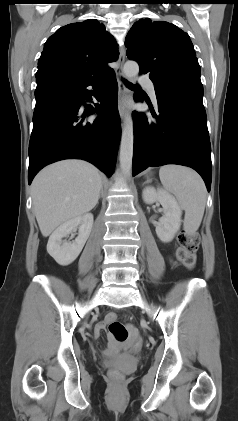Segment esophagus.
Returning <instances> with one entry per match:
<instances>
[{"mask_svg":"<svg viewBox=\"0 0 238 421\" xmlns=\"http://www.w3.org/2000/svg\"><path fill=\"white\" fill-rule=\"evenodd\" d=\"M124 62H125V48L124 46H120L118 68H117L116 74H117L118 90H119L118 91V111L122 120L125 119V116L127 114V109L125 105V96H126L127 88L124 84L125 75L123 72Z\"/></svg>","mask_w":238,"mask_h":421,"instance_id":"1","label":"esophagus"}]
</instances>
